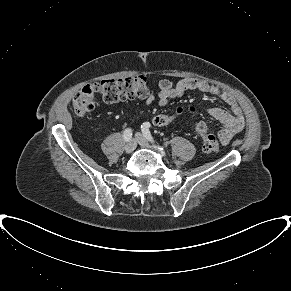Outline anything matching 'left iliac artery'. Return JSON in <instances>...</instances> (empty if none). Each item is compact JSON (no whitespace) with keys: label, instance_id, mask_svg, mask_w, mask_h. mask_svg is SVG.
Here are the masks:
<instances>
[{"label":"left iliac artery","instance_id":"left-iliac-artery-1","mask_svg":"<svg viewBox=\"0 0 291 291\" xmlns=\"http://www.w3.org/2000/svg\"><path fill=\"white\" fill-rule=\"evenodd\" d=\"M150 127H151V124H150L149 122H144V123L141 125V130H142V133H143L144 137H145L147 140H149V141H151L152 143H154L155 141H154V139H153V137H152V135H151V132H150V130H149Z\"/></svg>","mask_w":291,"mask_h":291}]
</instances>
